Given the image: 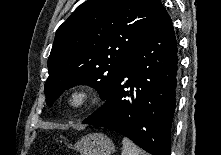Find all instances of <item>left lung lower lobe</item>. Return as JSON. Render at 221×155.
<instances>
[{"instance_id":"left-lung-lower-lobe-1","label":"left lung lower lobe","mask_w":221,"mask_h":155,"mask_svg":"<svg viewBox=\"0 0 221 155\" xmlns=\"http://www.w3.org/2000/svg\"><path fill=\"white\" fill-rule=\"evenodd\" d=\"M177 75L176 37L163 8L133 50L106 102L82 124L114 130L152 155H170Z\"/></svg>"}]
</instances>
